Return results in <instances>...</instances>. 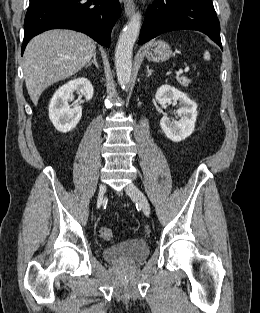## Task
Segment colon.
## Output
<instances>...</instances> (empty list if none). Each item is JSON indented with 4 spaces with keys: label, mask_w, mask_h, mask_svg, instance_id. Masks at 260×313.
I'll return each instance as SVG.
<instances>
[{
    "label": "colon",
    "mask_w": 260,
    "mask_h": 313,
    "mask_svg": "<svg viewBox=\"0 0 260 313\" xmlns=\"http://www.w3.org/2000/svg\"><path fill=\"white\" fill-rule=\"evenodd\" d=\"M98 234L105 241H113L115 238L112 229L103 225L98 227Z\"/></svg>",
    "instance_id": "1"
}]
</instances>
